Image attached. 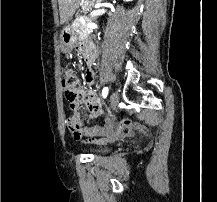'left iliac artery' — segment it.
Here are the masks:
<instances>
[{"mask_svg":"<svg viewBox=\"0 0 217 202\" xmlns=\"http://www.w3.org/2000/svg\"><path fill=\"white\" fill-rule=\"evenodd\" d=\"M107 94H108V87H104L103 90H102V96H103V98H106Z\"/></svg>","mask_w":217,"mask_h":202,"instance_id":"left-iliac-artery-1","label":"left iliac artery"}]
</instances>
